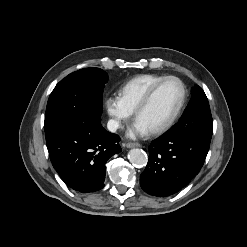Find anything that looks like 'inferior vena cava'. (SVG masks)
Here are the masks:
<instances>
[{"instance_id":"inferior-vena-cava-1","label":"inferior vena cava","mask_w":247,"mask_h":247,"mask_svg":"<svg viewBox=\"0 0 247 247\" xmlns=\"http://www.w3.org/2000/svg\"><path fill=\"white\" fill-rule=\"evenodd\" d=\"M119 127V123L115 120H109L107 123V128L111 132H115Z\"/></svg>"}]
</instances>
